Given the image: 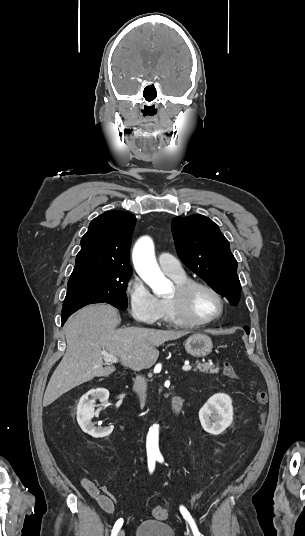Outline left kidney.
<instances>
[{
  "instance_id": "left-kidney-1",
  "label": "left kidney",
  "mask_w": 305,
  "mask_h": 536,
  "mask_svg": "<svg viewBox=\"0 0 305 536\" xmlns=\"http://www.w3.org/2000/svg\"><path fill=\"white\" fill-rule=\"evenodd\" d=\"M199 420L202 428L208 434L218 436L233 422V406L230 396L227 394H214L199 412Z\"/></svg>"
}]
</instances>
